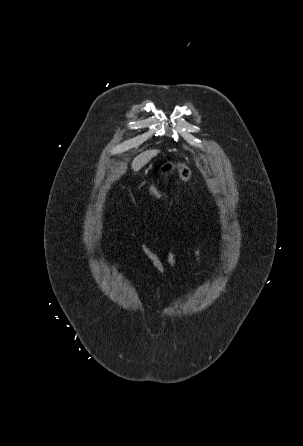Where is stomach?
<instances>
[{
	"label": "stomach",
	"instance_id": "obj_1",
	"mask_svg": "<svg viewBox=\"0 0 303 446\" xmlns=\"http://www.w3.org/2000/svg\"><path fill=\"white\" fill-rule=\"evenodd\" d=\"M175 168H176V164L172 161H168V162L164 163L163 165H161V167L159 168V174L164 177H168V176L174 174Z\"/></svg>",
	"mask_w": 303,
	"mask_h": 446
}]
</instances>
